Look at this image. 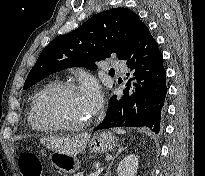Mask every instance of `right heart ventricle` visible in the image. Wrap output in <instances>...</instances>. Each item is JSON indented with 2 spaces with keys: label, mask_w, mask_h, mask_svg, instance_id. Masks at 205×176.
Returning <instances> with one entry per match:
<instances>
[{
  "label": "right heart ventricle",
  "mask_w": 205,
  "mask_h": 176,
  "mask_svg": "<svg viewBox=\"0 0 205 176\" xmlns=\"http://www.w3.org/2000/svg\"><path fill=\"white\" fill-rule=\"evenodd\" d=\"M49 86L48 85H45L43 88H41L39 91H37L34 96L32 97L30 103H29V106H28V111H27V121L30 125V127L36 131V132H44L46 131V129L40 127L34 120L33 118V114H32V108H33V104H34V101L36 99V97L45 89Z\"/></svg>",
  "instance_id": "1"
}]
</instances>
